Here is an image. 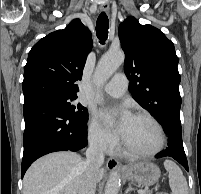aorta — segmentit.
Returning <instances> with one entry per match:
<instances>
[{"instance_id": "aorta-1", "label": "aorta", "mask_w": 201, "mask_h": 194, "mask_svg": "<svg viewBox=\"0 0 201 194\" xmlns=\"http://www.w3.org/2000/svg\"><path fill=\"white\" fill-rule=\"evenodd\" d=\"M125 60L122 50L109 51L99 60L95 72L94 82L98 88H101L106 81L115 73ZM120 187V176L118 172H113L105 186L104 194H118Z\"/></svg>"}]
</instances>
